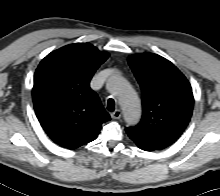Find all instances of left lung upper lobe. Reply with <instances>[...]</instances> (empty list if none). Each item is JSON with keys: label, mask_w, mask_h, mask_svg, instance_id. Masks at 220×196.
<instances>
[{"label": "left lung upper lobe", "mask_w": 220, "mask_h": 196, "mask_svg": "<svg viewBox=\"0 0 220 196\" xmlns=\"http://www.w3.org/2000/svg\"><path fill=\"white\" fill-rule=\"evenodd\" d=\"M129 65L142 89L143 115L126 128L155 150L173 144L187 127L193 93L185 76L167 59L152 53L132 55Z\"/></svg>", "instance_id": "1"}]
</instances>
